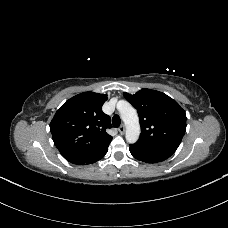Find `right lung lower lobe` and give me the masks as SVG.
I'll use <instances>...</instances> for the list:
<instances>
[{
  "label": "right lung lower lobe",
  "mask_w": 228,
  "mask_h": 228,
  "mask_svg": "<svg viewBox=\"0 0 228 228\" xmlns=\"http://www.w3.org/2000/svg\"><path fill=\"white\" fill-rule=\"evenodd\" d=\"M108 145L93 151L91 153L79 156V157H75V158H71L68 159L69 162L73 163V164H77V165H84V164H91V163H95L98 160H100L108 151Z\"/></svg>",
  "instance_id": "98d812e1"
}]
</instances>
